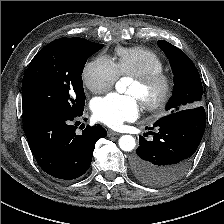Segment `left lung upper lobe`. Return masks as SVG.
Here are the masks:
<instances>
[{"label":"left lung upper lobe","instance_id":"left-lung-upper-lobe-1","mask_svg":"<svg viewBox=\"0 0 224 224\" xmlns=\"http://www.w3.org/2000/svg\"><path fill=\"white\" fill-rule=\"evenodd\" d=\"M158 46L169 59L173 75V95L166 105L171 113L202 105L203 88L197 68L187 55L167 41H158Z\"/></svg>","mask_w":224,"mask_h":224}]
</instances>
